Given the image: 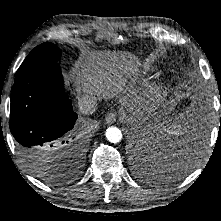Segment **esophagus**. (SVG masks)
Wrapping results in <instances>:
<instances>
[{"label": "esophagus", "instance_id": "esophagus-1", "mask_svg": "<svg viewBox=\"0 0 221 221\" xmlns=\"http://www.w3.org/2000/svg\"><path fill=\"white\" fill-rule=\"evenodd\" d=\"M116 120V113L110 112L105 116V121L107 124H113Z\"/></svg>", "mask_w": 221, "mask_h": 221}]
</instances>
